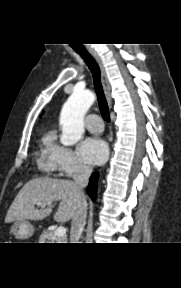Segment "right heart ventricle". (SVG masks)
I'll return each mask as SVG.
<instances>
[{"label":"right heart ventricle","instance_id":"e07e8e85","mask_svg":"<svg viewBox=\"0 0 181 288\" xmlns=\"http://www.w3.org/2000/svg\"><path fill=\"white\" fill-rule=\"evenodd\" d=\"M54 146V134L52 132L46 133L41 141V157L39 160L40 165L45 169H53V162L51 159V151Z\"/></svg>","mask_w":181,"mask_h":288}]
</instances>
